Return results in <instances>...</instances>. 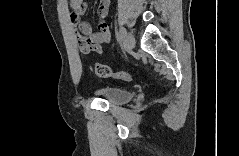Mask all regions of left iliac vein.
<instances>
[{
	"label": "left iliac vein",
	"instance_id": "left-iliac-vein-1",
	"mask_svg": "<svg viewBox=\"0 0 239 156\" xmlns=\"http://www.w3.org/2000/svg\"><path fill=\"white\" fill-rule=\"evenodd\" d=\"M135 38L131 33L126 34L125 46L128 51H131L135 46Z\"/></svg>",
	"mask_w": 239,
	"mask_h": 156
}]
</instances>
